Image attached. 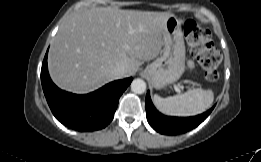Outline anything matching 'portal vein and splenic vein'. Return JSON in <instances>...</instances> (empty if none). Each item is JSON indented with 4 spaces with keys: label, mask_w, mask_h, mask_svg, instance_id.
I'll return each mask as SVG.
<instances>
[{
    "label": "portal vein and splenic vein",
    "mask_w": 261,
    "mask_h": 162,
    "mask_svg": "<svg viewBox=\"0 0 261 162\" xmlns=\"http://www.w3.org/2000/svg\"><path fill=\"white\" fill-rule=\"evenodd\" d=\"M175 90H176V91H179V87H178V86H175Z\"/></svg>",
    "instance_id": "obj_1"
}]
</instances>
